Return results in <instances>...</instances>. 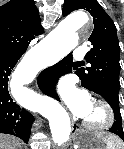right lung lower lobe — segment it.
Instances as JSON below:
<instances>
[{
	"label": "right lung lower lobe",
	"instance_id": "1",
	"mask_svg": "<svg viewBox=\"0 0 124 149\" xmlns=\"http://www.w3.org/2000/svg\"><path fill=\"white\" fill-rule=\"evenodd\" d=\"M23 53L0 56V133L11 134L28 143L34 117L13 102L8 92L11 71Z\"/></svg>",
	"mask_w": 124,
	"mask_h": 149
}]
</instances>
